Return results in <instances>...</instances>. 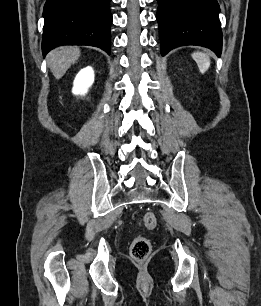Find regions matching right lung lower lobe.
<instances>
[{"instance_id": "1", "label": "right lung lower lobe", "mask_w": 261, "mask_h": 306, "mask_svg": "<svg viewBox=\"0 0 261 306\" xmlns=\"http://www.w3.org/2000/svg\"><path fill=\"white\" fill-rule=\"evenodd\" d=\"M111 0H47L42 53L60 45H90L110 54Z\"/></svg>"}]
</instances>
